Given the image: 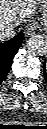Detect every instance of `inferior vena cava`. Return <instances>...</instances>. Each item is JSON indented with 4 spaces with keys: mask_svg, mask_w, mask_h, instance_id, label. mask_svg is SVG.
Returning a JSON list of instances; mask_svg holds the SVG:
<instances>
[{
    "mask_svg": "<svg viewBox=\"0 0 47 129\" xmlns=\"http://www.w3.org/2000/svg\"><path fill=\"white\" fill-rule=\"evenodd\" d=\"M15 36V30L13 27L2 26L0 28V40L5 41Z\"/></svg>",
    "mask_w": 47,
    "mask_h": 129,
    "instance_id": "inferior-vena-cava-1",
    "label": "inferior vena cava"
}]
</instances>
